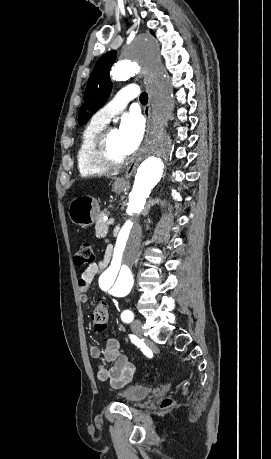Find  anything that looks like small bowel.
<instances>
[{"mask_svg": "<svg viewBox=\"0 0 271 459\" xmlns=\"http://www.w3.org/2000/svg\"><path fill=\"white\" fill-rule=\"evenodd\" d=\"M107 264L106 260L99 263L90 264L81 274L78 279L79 297L82 302L88 300V290L94 277L101 273ZM90 353L94 358L104 357L105 360L113 362L111 368L105 365H98L96 375L99 380H109L114 388L124 386L134 373V366L129 362L128 358L120 352L119 342L110 338L107 341L105 350H101L97 346L90 348Z\"/></svg>", "mask_w": 271, "mask_h": 459, "instance_id": "obj_1", "label": "small bowel"}]
</instances>
